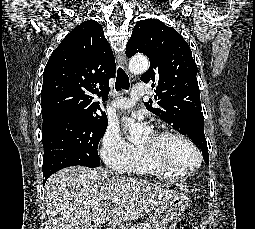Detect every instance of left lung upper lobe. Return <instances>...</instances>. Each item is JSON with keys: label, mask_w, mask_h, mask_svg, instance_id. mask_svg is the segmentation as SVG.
Returning <instances> with one entry per match:
<instances>
[{"label": "left lung upper lobe", "mask_w": 255, "mask_h": 229, "mask_svg": "<svg viewBox=\"0 0 255 229\" xmlns=\"http://www.w3.org/2000/svg\"><path fill=\"white\" fill-rule=\"evenodd\" d=\"M143 53L150 59L149 70L141 76L155 87V103L146 108L162 118L179 133L188 135L209 163L204 135L203 113L197 82V65L183 37L156 19L137 22L126 46V56Z\"/></svg>", "instance_id": "left-lung-upper-lobe-1"}]
</instances>
